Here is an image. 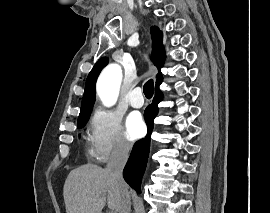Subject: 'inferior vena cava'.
Masks as SVG:
<instances>
[{
  "instance_id": "inferior-vena-cava-1",
  "label": "inferior vena cava",
  "mask_w": 270,
  "mask_h": 213,
  "mask_svg": "<svg viewBox=\"0 0 270 213\" xmlns=\"http://www.w3.org/2000/svg\"><path fill=\"white\" fill-rule=\"evenodd\" d=\"M131 146L124 141L116 144L110 159L107 163L106 170L117 180L121 192V207L119 213L131 212V201L127 185L123 179V169L129 157Z\"/></svg>"
}]
</instances>
